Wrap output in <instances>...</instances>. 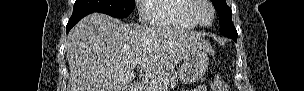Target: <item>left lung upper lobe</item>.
Returning a JSON list of instances; mask_svg holds the SVG:
<instances>
[{
  "mask_svg": "<svg viewBox=\"0 0 304 91\" xmlns=\"http://www.w3.org/2000/svg\"><path fill=\"white\" fill-rule=\"evenodd\" d=\"M220 21V33L226 37L237 38L238 34L232 22V11L226 4V0H211Z\"/></svg>",
  "mask_w": 304,
  "mask_h": 91,
  "instance_id": "obj_1",
  "label": "left lung upper lobe"
}]
</instances>
